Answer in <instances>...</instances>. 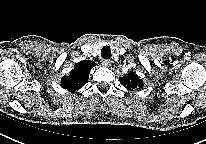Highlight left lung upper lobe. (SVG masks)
I'll return each instance as SVG.
<instances>
[{
  "mask_svg": "<svg viewBox=\"0 0 206 144\" xmlns=\"http://www.w3.org/2000/svg\"><path fill=\"white\" fill-rule=\"evenodd\" d=\"M121 84L128 90L140 89L143 87V81L132 71L126 76L119 77Z\"/></svg>",
  "mask_w": 206,
  "mask_h": 144,
  "instance_id": "obj_1",
  "label": "left lung upper lobe"
}]
</instances>
